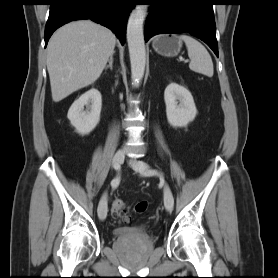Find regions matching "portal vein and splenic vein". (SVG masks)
<instances>
[{
  "label": "portal vein and splenic vein",
  "instance_id": "1",
  "mask_svg": "<svg viewBox=\"0 0 278 278\" xmlns=\"http://www.w3.org/2000/svg\"><path fill=\"white\" fill-rule=\"evenodd\" d=\"M182 61H184V62H188V60H185V59H183V58H180Z\"/></svg>",
  "mask_w": 278,
  "mask_h": 278
}]
</instances>
